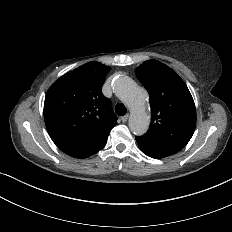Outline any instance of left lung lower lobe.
<instances>
[{
  "instance_id": "0a47b994",
  "label": "left lung lower lobe",
  "mask_w": 232,
  "mask_h": 232,
  "mask_svg": "<svg viewBox=\"0 0 232 232\" xmlns=\"http://www.w3.org/2000/svg\"><path fill=\"white\" fill-rule=\"evenodd\" d=\"M136 141L143 153L155 159H161L180 151L172 146L143 136L136 137Z\"/></svg>"
}]
</instances>
